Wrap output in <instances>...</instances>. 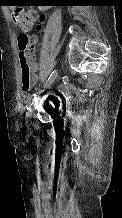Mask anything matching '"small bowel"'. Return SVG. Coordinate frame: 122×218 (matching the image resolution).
Segmentation results:
<instances>
[{
    "mask_svg": "<svg viewBox=\"0 0 122 218\" xmlns=\"http://www.w3.org/2000/svg\"><path fill=\"white\" fill-rule=\"evenodd\" d=\"M30 62H31V71L33 74V85H35L39 80L40 65L37 62H35L32 54H31Z\"/></svg>",
    "mask_w": 122,
    "mask_h": 218,
    "instance_id": "obj_1",
    "label": "small bowel"
}]
</instances>
